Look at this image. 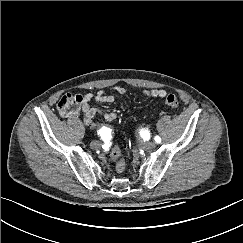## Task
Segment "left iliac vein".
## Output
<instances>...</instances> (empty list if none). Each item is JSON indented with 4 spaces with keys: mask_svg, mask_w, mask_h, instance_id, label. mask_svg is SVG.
Returning a JSON list of instances; mask_svg holds the SVG:
<instances>
[{
    "mask_svg": "<svg viewBox=\"0 0 243 243\" xmlns=\"http://www.w3.org/2000/svg\"><path fill=\"white\" fill-rule=\"evenodd\" d=\"M143 149L150 151L155 148V144L153 142H145L142 144Z\"/></svg>",
    "mask_w": 243,
    "mask_h": 243,
    "instance_id": "1",
    "label": "left iliac vein"
}]
</instances>
